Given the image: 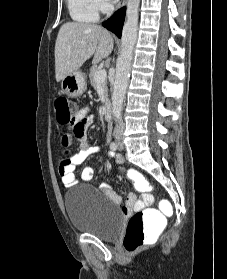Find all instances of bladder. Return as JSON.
<instances>
[{
	"label": "bladder",
	"mask_w": 227,
	"mask_h": 279,
	"mask_svg": "<svg viewBox=\"0 0 227 279\" xmlns=\"http://www.w3.org/2000/svg\"><path fill=\"white\" fill-rule=\"evenodd\" d=\"M94 193L87 192L86 186L68 191L63 200L65 211L75 229L103 240H114L122 231V214L105 193Z\"/></svg>",
	"instance_id": "31cf9c89"
}]
</instances>
